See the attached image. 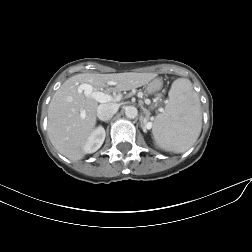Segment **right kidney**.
<instances>
[{
  "label": "right kidney",
  "mask_w": 252,
  "mask_h": 252,
  "mask_svg": "<svg viewBox=\"0 0 252 252\" xmlns=\"http://www.w3.org/2000/svg\"><path fill=\"white\" fill-rule=\"evenodd\" d=\"M105 129L102 126L97 127L92 131V133L87 138L84 144L85 153L96 152L103 144L105 140Z\"/></svg>",
  "instance_id": "right-kidney-1"
}]
</instances>
